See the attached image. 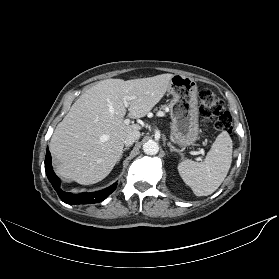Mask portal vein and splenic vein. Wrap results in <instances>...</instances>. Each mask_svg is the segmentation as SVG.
Here are the masks:
<instances>
[{"label":"portal vein and splenic vein","instance_id":"1","mask_svg":"<svg viewBox=\"0 0 279 279\" xmlns=\"http://www.w3.org/2000/svg\"><path fill=\"white\" fill-rule=\"evenodd\" d=\"M131 99H134V97H129V96H125L124 97V105H125V107H128V101L131 100ZM124 123L128 125L130 123V120L129 119H125Z\"/></svg>","mask_w":279,"mask_h":279}]
</instances>
